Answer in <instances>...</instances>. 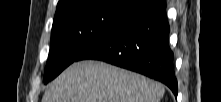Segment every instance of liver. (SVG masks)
I'll use <instances>...</instances> for the list:
<instances>
[{"instance_id": "liver-1", "label": "liver", "mask_w": 221, "mask_h": 102, "mask_svg": "<svg viewBox=\"0 0 221 102\" xmlns=\"http://www.w3.org/2000/svg\"><path fill=\"white\" fill-rule=\"evenodd\" d=\"M164 92L160 83L142 75L90 60L68 67L42 102H159Z\"/></svg>"}]
</instances>
